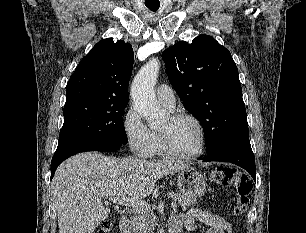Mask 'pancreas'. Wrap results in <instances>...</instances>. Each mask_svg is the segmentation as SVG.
Wrapping results in <instances>:
<instances>
[{
	"label": "pancreas",
	"instance_id": "cf45deb5",
	"mask_svg": "<svg viewBox=\"0 0 306 233\" xmlns=\"http://www.w3.org/2000/svg\"><path fill=\"white\" fill-rule=\"evenodd\" d=\"M175 201L179 203L182 209L195 204L196 199L180 195L177 193L169 194ZM156 217L150 210H136L134 216L131 218V227L133 233H154L157 224Z\"/></svg>",
	"mask_w": 306,
	"mask_h": 233
}]
</instances>
